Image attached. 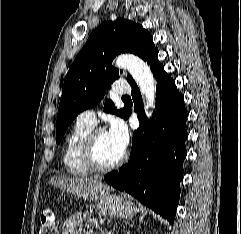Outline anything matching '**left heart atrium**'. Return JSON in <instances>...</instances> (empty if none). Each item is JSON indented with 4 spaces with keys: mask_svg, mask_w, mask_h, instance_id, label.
I'll return each mask as SVG.
<instances>
[{
    "mask_svg": "<svg viewBox=\"0 0 241 234\" xmlns=\"http://www.w3.org/2000/svg\"><path fill=\"white\" fill-rule=\"evenodd\" d=\"M107 133L114 143L124 151L129 142V133L125 123L119 118H112Z\"/></svg>",
    "mask_w": 241,
    "mask_h": 234,
    "instance_id": "39dd6f15",
    "label": "left heart atrium"
}]
</instances>
